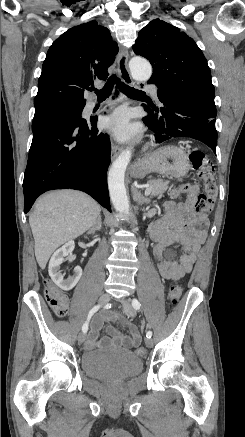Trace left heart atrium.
I'll return each mask as SVG.
<instances>
[{
  "mask_svg": "<svg viewBox=\"0 0 245 437\" xmlns=\"http://www.w3.org/2000/svg\"><path fill=\"white\" fill-rule=\"evenodd\" d=\"M104 129L115 139L125 141L134 135L136 126L131 123L130 113L124 108L115 110L103 120Z\"/></svg>",
  "mask_w": 245,
  "mask_h": 437,
  "instance_id": "left-heart-atrium-1",
  "label": "left heart atrium"
}]
</instances>
